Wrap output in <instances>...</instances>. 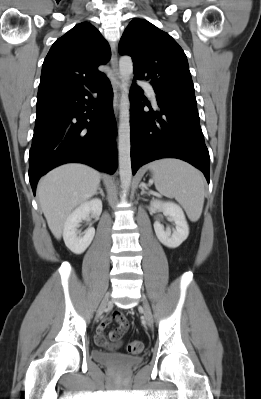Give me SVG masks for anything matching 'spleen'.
Instances as JSON below:
<instances>
[{"label":"spleen","mask_w":261,"mask_h":399,"mask_svg":"<svg viewBox=\"0 0 261 399\" xmlns=\"http://www.w3.org/2000/svg\"><path fill=\"white\" fill-rule=\"evenodd\" d=\"M153 172L156 189L167 197L175 198L188 218L195 222L202 213L205 179L200 171L178 159H160L148 165Z\"/></svg>","instance_id":"spleen-1"}]
</instances>
